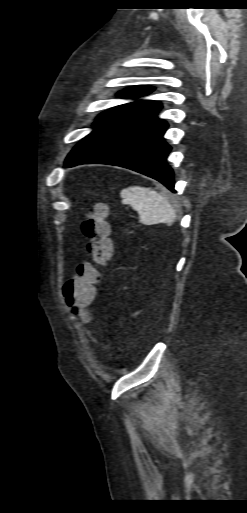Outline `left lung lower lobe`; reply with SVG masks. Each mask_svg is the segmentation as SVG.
I'll return each mask as SVG.
<instances>
[{
    "label": "left lung lower lobe",
    "instance_id": "left-lung-lower-lobe-1",
    "mask_svg": "<svg viewBox=\"0 0 247 513\" xmlns=\"http://www.w3.org/2000/svg\"><path fill=\"white\" fill-rule=\"evenodd\" d=\"M162 105L139 100L98 117L94 131L68 155L66 167L85 163L132 169L174 190L173 171L166 163L171 150L163 139L168 124L157 117Z\"/></svg>",
    "mask_w": 247,
    "mask_h": 513
}]
</instances>
